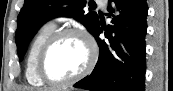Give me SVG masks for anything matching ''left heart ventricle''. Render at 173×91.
I'll use <instances>...</instances> for the list:
<instances>
[{
  "label": "left heart ventricle",
  "instance_id": "1",
  "mask_svg": "<svg viewBox=\"0 0 173 91\" xmlns=\"http://www.w3.org/2000/svg\"><path fill=\"white\" fill-rule=\"evenodd\" d=\"M87 59L86 42L77 35H66L51 46L44 60V71L52 80H64L79 73Z\"/></svg>",
  "mask_w": 173,
  "mask_h": 91
}]
</instances>
